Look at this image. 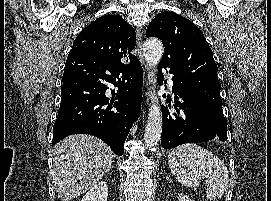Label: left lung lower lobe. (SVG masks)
I'll use <instances>...</instances> for the list:
<instances>
[{
	"label": "left lung lower lobe",
	"instance_id": "0a47b994",
	"mask_svg": "<svg viewBox=\"0 0 271 201\" xmlns=\"http://www.w3.org/2000/svg\"><path fill=\"white\" fill-rule=\"evenodd\" d=\"M167 68L159 64V70ZM173 92L174 100L167 101L168 107L174 109L169 111L162 106L163 128L161 134V144L165 149L174 148L184 143H197L209 140L226 141L227 138L219 135L212 126L204 107L191 95L184 92L181 83L173 72ZM163 75L158 73V80L162 81ZM159 82V81H158ZM165 96V95H164Z\"/></svg>",
	"mask_w": 271,
	"mask_h": 201
}]
</instances>
